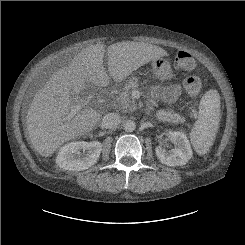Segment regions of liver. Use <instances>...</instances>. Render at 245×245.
I'll list each match as a JSON object with an SVG mask.
<instances>
[{
	"label": "liver",
	"instance_id": "1",
	"mask_svg": "<svg viewBox=\"0 0 245 245\" xmlns=\"http://www.w3.org/2000/svg\"><path fill=\"white\" fill-rule=\"evenodd\" d=\"M106 51L109 74L103 67L105 45H91L55 72L34 96L26 124L31 146L40 155L51 156L61 145L92 131L100 122L101 115L92 108L68 119L74 104L72 96L89 84L106 87L110 77L121 82L141 66L167 55L161 47L133 41L114 43Z\"/></svg>",
	"mask_w": 245,
	"mask_h": 245
}]
</instances>
